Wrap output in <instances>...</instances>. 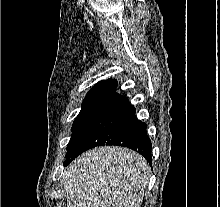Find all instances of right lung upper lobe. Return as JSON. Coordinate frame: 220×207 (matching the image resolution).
Instances as JSON below:
<instances>
[{
	"label": "right lung upper lobe",
	"instance_id": "1",
	"mask_svg": "<svg viewBox=\"0 0 220 207\" xmlns=\"http://www.w3.org/2000/svg\"><path fill=\"white\" fill-rule=\"evenodd\" d=\"M105 82V80H102V81H100L99 83H97L96 85H98V84H103Z\"/></svg>",
	"mask_w": 220,
	"mask_h": 207
}]
</instances>
